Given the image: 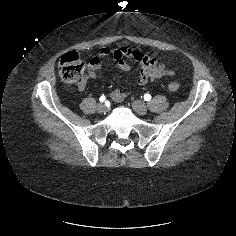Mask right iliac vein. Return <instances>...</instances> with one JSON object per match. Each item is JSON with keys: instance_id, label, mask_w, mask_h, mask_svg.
<instances>
[{"instance_id": "right-iliac-vein-1", "label": "right iliac vein", "mask_w": 236, "mask_h": 236, "mask_svg": "<svg viewBox=\"0 0 236 236\" xmlns=\"http://www.w3.org/2000/svg\"><path fill=\"white\" fill-rule=\"evenodd\" d=\"M106 110H107V108L104 104L100 103V104L97 105V111L99 113H105Z\"/></svg>"}]
</instances>
